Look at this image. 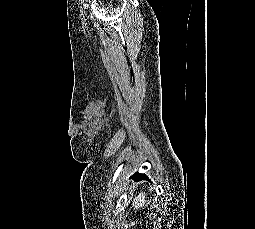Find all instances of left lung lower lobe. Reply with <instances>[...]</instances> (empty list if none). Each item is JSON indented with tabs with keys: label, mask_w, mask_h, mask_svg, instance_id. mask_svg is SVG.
Masks as SVG:
<instances>
[{
	"label": "left lung lower lobe",
	"mask_w": 255,
	"mask_h": 229,
	"mask_svg": "<svg viewBox=\"0 0 255 229\" xmlns=\"http://www.w3.org/2000/svg\"><path fill=\"white\" fill-rule=\"evenodd\" d=\"M133 178H135L136 180H142V179H147L145 174H140V173H136Z\"/></svg>",
	"instance_id": "1"
}]
</instances>
